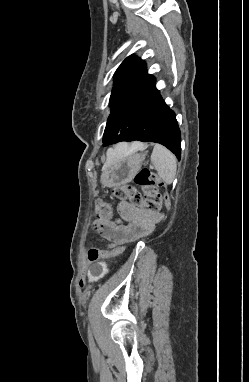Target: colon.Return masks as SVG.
Segmentation results:
<instances>
[{
    "instance_id": "1",
    "label": "colon",
    "mask_w": 249,
    "mask_h": 382,
    "mask_svg": "<svg viewBox=\"0 0 249 382\" xmlns=\"http://www.w3.org/2000/svg\"><path fill=\"white\" fill-rule=\"evenodd\" d=\"M135 183L142 188V194L135 186L124 185L115 187L113 195L149 212H159L163 207V196L157 188L155 175L149 169L143 168L136 174ZM95 212L97 217H109L111 209L106 202L97 200ZM123 250L122 245L109 250L91 247L87 251V260L93 263L101 258L115 257Z\"/></svg>"
}]
</instances>
